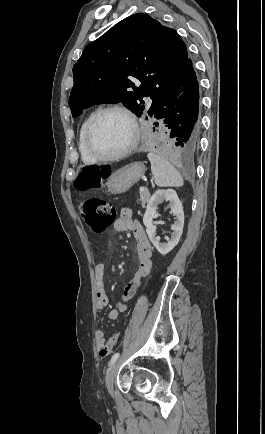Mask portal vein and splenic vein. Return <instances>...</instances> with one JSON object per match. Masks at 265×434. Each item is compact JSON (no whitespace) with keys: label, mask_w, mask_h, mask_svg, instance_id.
Here are the masks:
<instances>
[{"label":"portal vein and splenic vein","mask_w":265,"mask_h":434,"mask_svg":"<svg viewBox=\"0 0 265 434\" xmlns=\"http://www.w3.org/2000/svg\"><path fill=\"white\" fill-rule=\"evenodd\" d=\"M140 192H144L145 188H139Z\"/></svg>","instance_id":"18ae733b"}]
</instances>
